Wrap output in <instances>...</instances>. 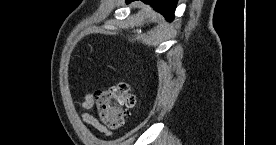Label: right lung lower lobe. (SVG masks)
<instances>
[{
    "instance_id": "right-lung-lower-lobe-1",
    "label": "right lung lower lobe",
    "mask_w": 276,
    "mask_h": 145,
    "mask_svg": "<svg viewBox=\"0 0 276 145\" xmlns=\"http://www.w3.org/2000/svg\"><path fill=\"white\" fill-rule=\"evenodd\" d=\"M134 0H126L130 3ZM145 3L150 4L156 11L160 12L168 21H172L174 18V11L176 8L177 0H142Z\"/></svg>"
}]
</instances>
